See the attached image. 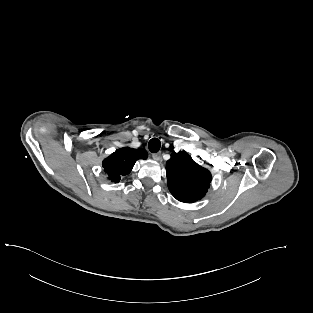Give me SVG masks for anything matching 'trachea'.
<instances>
[{"label":"trachea","mask_w":313,"mask_h":313,"mask_svg":"<svg viewBox=\"0 0 313 313\" xmlns=\"http://www.w3.org/2000/svg\"><path fill=\"white\" fill-rule=\"evenodd\" d=\"M161 143L158 138H152L149 141V150L152 153H157L160 150Z\"/></svg>","instance_id":"1"}]
</instances>
